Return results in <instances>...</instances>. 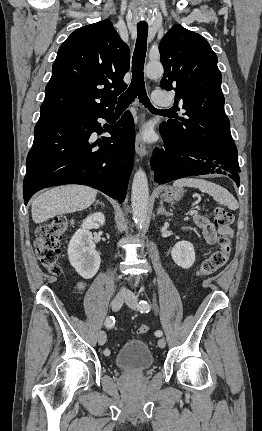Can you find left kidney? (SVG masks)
<instances>
[{
  "label": "left kidney",
  "instance_id": "1",
  "mask_svg": "<svg viewBox=\"0 0 262 431\" xmlns=\"http://www.w3.org/2000/svg\"><path fill=\"white\" fill-rule=\"evenodd\" d=\"M173 261L183 269L190 268L195 262V250L193 244L188 241H180L172 248Z\"/></svg>",
  "mask_w": 262,
  "mask_h": 431
}]
</instances>
